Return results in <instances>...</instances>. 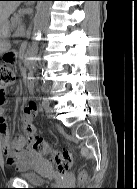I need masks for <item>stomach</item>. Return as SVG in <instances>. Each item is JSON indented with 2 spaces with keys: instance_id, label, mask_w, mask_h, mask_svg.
<instances>
[{
  "instance_id": "1",
  "label": "stomach",
  "mask_w": 137,
  "mask_h": 189,
  "mask_svg": "<svg viewBox=\"0 0 137 189\" xmlns=\"http://www.w3.org/2000/svg\"><path fill=\"white\" fill-rule=\"evenodd\" d=\"M9 24L6 22L2 28H0V53L6 51L9 47V43L7 42L6 38L9 35Z\"/></svg>"
}]
</instances>
